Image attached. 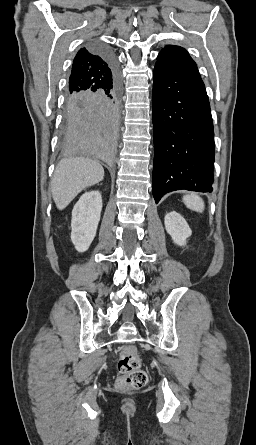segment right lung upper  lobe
<instances>
[{"label":"right lung upper lobe","instance_id":"obj_1","mask_svg":"<svg viewBox=\"0 0 256 445\" xmlns=\"http://www.w3.org/2000/svg\"><path fill=\"white\" fill-rule=\"evenodd\" d=\"M111 78L108 62L93 45L81 48L76 54L67 96H76L102 89Z\"/></svg>","mask_w":256,"mask_h":445}]
</instances>
